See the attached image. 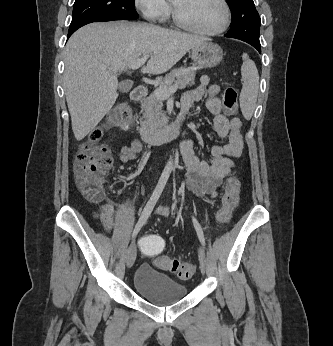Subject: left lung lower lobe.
Here are the masks:
<instances>
[{"instance_id": "1", "label": "left lung lower lobe", "mask_w": 333, "mask_h": 346, "mask_svg": "<svg viewBox=\"0 0 333 346\" xmlns=\"http://www.w3.org/2000/svg\"><path fill=\"white\" fill-rule=\"evenodd\" d=\"M226 37H229L226 35ZM233 38V37H232ZM247 43H249L250 45H252L253 47H255L259 53H261V45L260 42H253V41H245Z\"/></svg>"}]
</instances>
